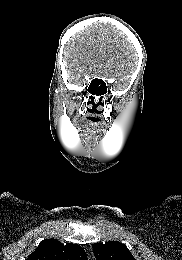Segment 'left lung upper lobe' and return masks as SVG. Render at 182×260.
Listing matches in <instances>:
<instances>
[{"label": "left lung upper lobe", "mask_w": 182, "mask_h": 260, "mask_svg": "<svg viewBox=\"0 0 182 260\" xmlns=\"http://www.w3.org/2000/svg\"><path fill=\"white\" fill-rule=\"evenodd\" d=\"M93 253L96 260H135L126 245L117 241H109L105 244L95 243Z\"/></svg>", "instance_id": "left-lung-upper-lobe-1"}]
</instances>
